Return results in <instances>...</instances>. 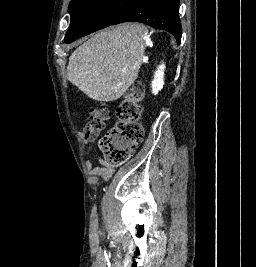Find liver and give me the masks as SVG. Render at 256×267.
<instances>
[{
  "instance_id": "liver-1",
  "label": "liver",
  "mask_w": 256,
  "mask_h": 267,
  "mask_svg": "<svg viewBox=\"0 0 256 267\" xmlns=\"http://www.w3.org/2000/svg\"><path fill=\"white\" fill-rule=\"evenodd\" d=\"M146 30L126 22L97 32L71 54L67 80L97 102L118 100L138 76Z\"/></svg>"
}]
</instances>
